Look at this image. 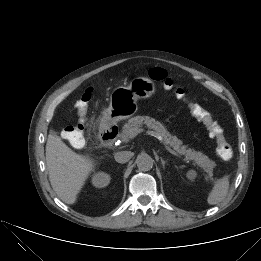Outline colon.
Here are the masks:
<instances>
[{
    "instance_id": "5ec220e1",
    "label": "colon",
    "mask_w": 261,
    "mask_h": 261,
    "mask_svg": "<svg viewBox=\"0 0 261 261\" xmlns=\"http://www.w3.org/2000/svg\"><path fill=\"white\" fill-rule=\"evenodd\" d=\"M149 77L162 84V86L172 91L174 95L180 99L185 100V92L181 88L174 87L172 79L167 72L160 68H152L148 71ZM93 93L92 88H86L79 98L76 107L80 115L86 113L88 104ZM189 109L193 116L202 121L208 128L210 135L216 140L217 155L223 160H230L234 156V151L224 134L222 127L215 121L210 114L196 103H188ZM63 137L75 148H80L85 143L84 126L80 123L67 126L63 130Z\"/></svg>"
}]
</instances>
